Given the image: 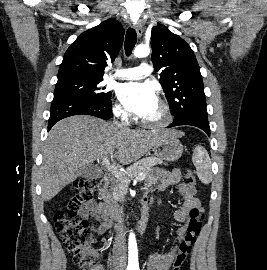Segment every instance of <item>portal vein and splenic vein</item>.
Here are the masks:
<instances>
[{
    "label": "portal vein and splenic vein",
    "instance_id": "portal-vein-and-splenic-vein-1",
    "mask_svg": "<svg viewBox=\"0 0 267 270\" xmlns=\"http://www.w3.org/2000/svg\"><path fill=\"white\" fill-rule=\"evenodd\" d=\"M102 165H104L107 168V170L109 172H111L116 178H118L126 183L130 182V180L128 178H126L121 171H119L114 165L110 164L108 157H104L102 159ZM144 178H145L144 176L137 177L136 180H143Z\"/></svg>",
    "mask_w": 267,
    "mask_h": 270
}]
</instances>
